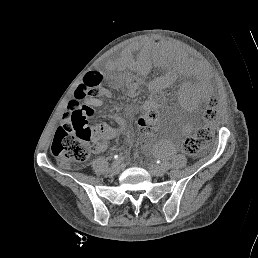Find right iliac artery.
Masks as SVG:
<instances>
[{
  "label": "right iliac artery",
  "instance_id": "right-iliac-artery-1",
  "mask_svg": "<svg viewBox=\"0 0 258 258\" xmlns=\"http://www.w3.org/2000/svg\"><path fill=\"white\" fill-rule=\"evenodd\" d=\"M114 158H115L116 160H118V157H117V156H115Z\"/></svg>",
  "mask_w": 258,
  "mask_h": 258
}]
</instances>
